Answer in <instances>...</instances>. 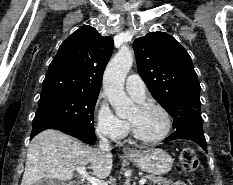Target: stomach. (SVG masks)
Masks as SVG:
<instances>
[{
  "label": "stomach",
  "mask_w": 233,
  "mask_h": 185,
  "mask_svg": "<svg viewBox=\"0 0 233 185\" xmlns=\"http://www.w3.org/2000/svg\"><path fill=\"white\" fill-rule=\"evenodd\" d=\"M138 168L152 175L168 173L173 166L172 157L163 149L151 148L126 155Z\"/></svg>",
  "instance_id": "0dacf381"
}]
</instances>
